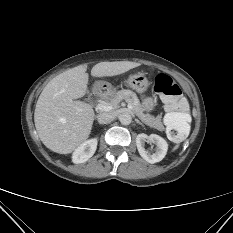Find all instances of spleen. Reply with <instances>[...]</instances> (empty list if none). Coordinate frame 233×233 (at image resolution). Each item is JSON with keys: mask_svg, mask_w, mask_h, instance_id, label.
<instances>
[{"mask_svg": "<svg viewBox=\"0 0 233 233\" xmlns=\"http://www.w3.org/2000/svg\"><path fill=\"white\" fill-rule=\"evenodd\" d=\"M166 119L170 124H187L190 122L191 117L189 114L184 113H168ZM177 147H175L176 149Z\"/></svg>", "mask_w": 233, "mask_h": 233, "instance_id": "obj_1", "label": "spleen"}]
</instances>
